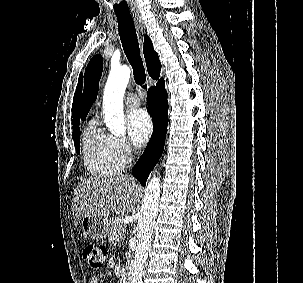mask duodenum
Instances as JSON below:
<instances>
[{
    "label": "duodenum",
    "mask_w": 303,
    "mask_h": 283,
    "mask_svg": "<svg viewBox=\"0 0 303 283\" xmlns=\"http://www.w3.org/2000/svg\"><path fill=\"white\" fill-rule=\"evenodd\" d=\"M130 264L129 263H126L125 264V266H124V272L126 273V274H129V272H130Z\"/></svg>",
    "instance_id": "1"
}]
</instances>
